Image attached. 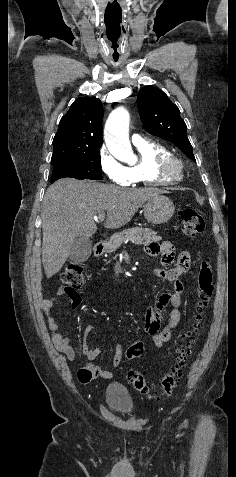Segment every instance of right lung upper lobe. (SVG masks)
<instances>
[{
    "mask_svg": "<svg viewBox=\"0 0 236 477\" xmlns=\"http://www.w3.org/2000/svg\"><path fill=\"white\" fill-rule=\"evenodd\" d=\"M103 106L95 97H81L59 123L51 161L99 149L102 145Z\"/></svg>",
    "mask_w": 236,
    "mask_h": 477,
    "instance_id": "1",
    "label": "right lung upper lobe"
}]
</instances>
